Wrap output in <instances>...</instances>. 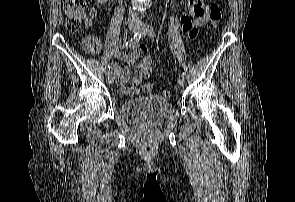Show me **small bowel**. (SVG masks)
I'll list each match as a JSON object with an SVG mask.
<instances>
[{"instance_id":"small-bowel-1","label":"small bowel","mask_w":295,"mask_h":202,"mask_svg":"<svg viewBox=\"0 0 295 202\" xmlns=\"http://www.w3.org/2000/svg\"><path fill=\"white\" fill-rule=\"evenodd\" d=\"M110 0H96L94 5L90 8L89 16L86 19V26L92 24V18L97 17L101 7L108 3ZM188 14H184L180 19V27L184 32H187L189 36L194 37L197 34L198 28L206 23L209 5L202 0H188ZM84 47L87 52L97 54L100 51V40L96 36H87L84 38ZM146 47L138 46L132 48L130 51H119L116 54L117 59L123 61L125 65H119L117 63L112 64V69L117 77V84L120 91L129 97L138 96L141 93H148L152 90H142L143 79H150V74L138 75V71H134V75L131 80V85L127 86V81L130 77L129 65L133 64L142 54Z\"/></svg>"}]
</instances>
